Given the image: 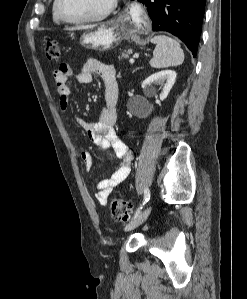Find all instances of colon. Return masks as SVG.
Wrapping results in <instances>:
<instances>
[{
    "mask_svg": "<svg viewBox=\"0 0 247 299\" xmlns=\"http://www.w3.org/2000/svg\"><path fill=\"white\" fill-rule=\"evenodd\" d=\"M44 53L48 60H57L59 58V48L57 42L48 39L44 43ZM110 210L114 219L126 222L130 218L132 204L123 198H114L110 204Z\"/></svg>",
    "mask_w": 247,
    "mask_h": 299,
    "instance_id": "5ec220e1",
    "label": "colon"
}]
</instances>
